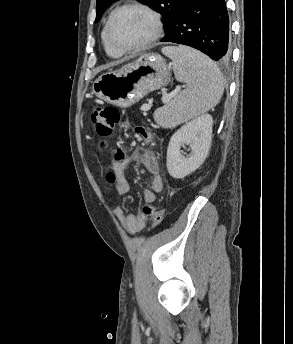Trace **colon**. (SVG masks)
Segmentation results:
<instances>
[{
    "label": "colon",
    "mask_w": 293,
    "mask_h": 344,
    "mask_svg": "<svg viewBox=\"0 0 293 344\" xmlns=\"http://www.w3.org/2000/svg\"><path fill=\"white\" fill-rule=\"evenodd\" d=\"M91 122L96 134L103 139L102 145L109 146L110 139L113 136L116 126L120 122V111L115 107H95L91 111ZM136 136L146 144L152 143V134L143 127L135 129ZM125 160V152L122 148H117L114 152L113 161L121 163ZM142 211L151 216L153 227H157L163 220V211L152 205H145Z\"/></svg>",
    "instance_id": "5ec220e1"
}]
</instances>
